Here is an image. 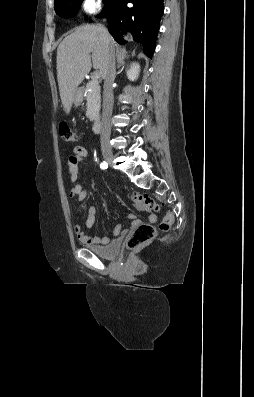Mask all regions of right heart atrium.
Listing matches in <instances>:
<instances>
[{
  "label": "right heart atrium",
  "instance_id": "d8ad5b80",
  "mask_svg": "<svg viewBox=\"0 0 254 397\" xmlns=\"http://www.w3.org/2000/svg\"><path fill=\"white\" fill-rule=\"evenodd\" d=\"M102 4L100 0H82L80 9L83 13L93 15L101 10Z\"/></svg>",
  "mask_w": 254,
  "mask_h": 397
}]
</instances>
